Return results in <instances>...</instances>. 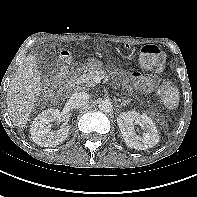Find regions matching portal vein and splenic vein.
<instances>
[{"label": "portal vein and splenic vein", "instance_id": "1", "mask_svg": "<svg viewBox=\"0 0 197 197\" xmlns=\"http://www.w3.org/2000/svg\"><path fill=\"white\" fill-rule=\"evenodd\" d=\"M102 78L99 76L94 77L95 84H99L101 82ZM108 81L107 79H104V82Z\"/></svg>", "mask_w": 197, "mask_h": 197}]
</instances>
